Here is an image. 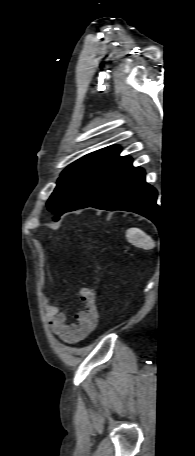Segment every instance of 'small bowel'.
Segmentation results:
<instances>
[{"instance_id": "small-bowel-1", "label": "small bowel", "mask_w": 195, "mask_h": 456, "mask_svg": "<svg viewBox=\"0 0 195 456\" xmlns=\"http://www.w3.org/2000/svg\"><path fill=\"white\" fill-rule=\"evenodd\" d=\"M77 296L83 308L75 316L76 323H68L59 304H51L46 295L42 296L49 328L58 339L66 344H74L87 337L96 328L98 321L94 291L83 288L77 292Z\"/></svg>"}]
</instances>
